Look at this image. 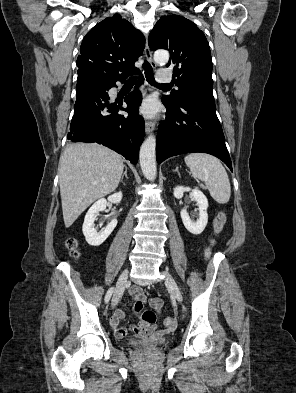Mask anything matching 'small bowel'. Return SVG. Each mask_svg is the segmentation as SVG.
<instances>
[{
  "label": "small bowel",
  "mask_w": 296,
  "mask_h": 393,
  "mask_svg": "<svg viewBox=\"0 0 296 393\" xmlns=\"http://www.w3.org/2000/svg\"><path fill=\"white\" fill-rule=\"evenodd\" d=\"M127 296L138 300L140 299L144 304H147L149 307L154 309L155 311H159L162 307V300L159 298H146L143 290L138 286H131L126 293ZM125 318V312L122 308H118L115 310L111 320L110 325L113 328L115 334L118 337H124L128 334H133L136 337L143 338L150 336L156 329V326H150L149 324L140 320L137 326L130 327H120V321Z\"/></svg>",
  "instance_id": "obj_1"
}]
</instances>
